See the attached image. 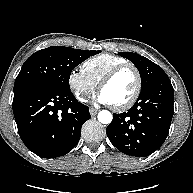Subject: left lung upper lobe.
Wrapping results in <instances>:
<instances>
[{"mask_svg":"<svg viewBox=\"0 0 193 193\" xmlns=\"http://www.w3.org/2000/svg\"><path fill=\"white\" fill-rule=\"evenodd\" d=\"M118 54L132 61L133 64L137 67L142 82L141 92L149 87L158 78L166 75L160 66L139 54L131 52H120Z\"/></svg>","mask_w":193,"mask_h":193,"instance_id":"left-lung-upper-lobe-1","label":"left lung upper lobe"}]
</instances>
